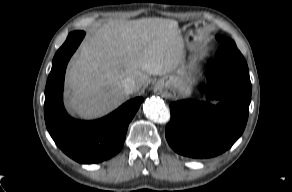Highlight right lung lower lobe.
<instances>
[{
  "instance_id": "98d812e1",
  "label": "right lung lower lobe",
  "mask_w": 292,
  "mask_h": 192,
  "mask_svg": "<svg viewBox=\"0 0 292 192\" xmlns=\"http://www.w3.org/2000/svg\"><path fill=\"white\" fill-rule=\"evenodd\" d=\"M84 35L83 31L71 32L53 58L45 89L44 116L56 145L75 161L91 164L107 160L120 151L128 125L143 98L132 99L94 121L76 120L66 113L62 102L65 69Z\"/></svg>"
}]
</instances>
